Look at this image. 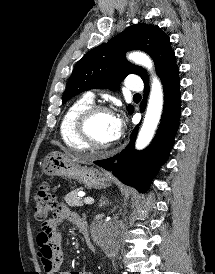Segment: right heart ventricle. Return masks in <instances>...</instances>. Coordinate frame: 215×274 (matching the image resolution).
I'll return each instance as SVG.
<instances>
[{
    "mask_svg": "<svg viewBox=\"0 0 215 274\" xmlns=\"http://www.w3.org/2000/svg\"><path fill=\"white\" fill-rule=\"evenodd\" d=\"M92 104V99L83 96L75 100L64 113L60 123V135L68 147L76 150L87 149V146L78 137L76 122L79 115Z\"/></svg>",
    "mask_w": 215,
    "mask_h": 274,
    "instance_id": "1",
    "label": "right heart ventricle"
}]
</instances>
